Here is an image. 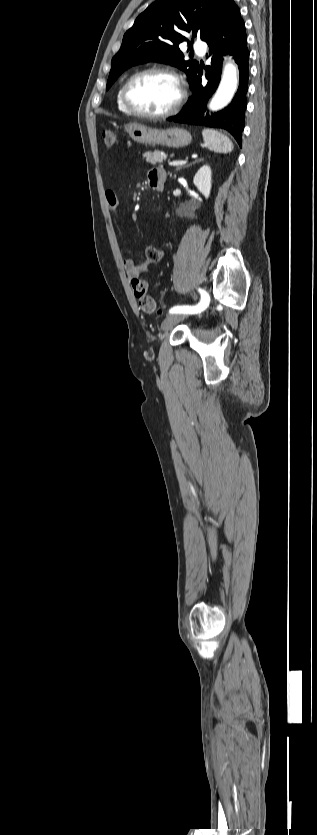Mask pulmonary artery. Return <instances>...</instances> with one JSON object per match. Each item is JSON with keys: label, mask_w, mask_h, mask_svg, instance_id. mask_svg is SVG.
<instances>
[{"label": "pulmonary artery", "mask_w": 317, "mask_h": 835, "mask_svg": "<svg viewBox=\"0 0 317 835\" xmlns=\"http://www.w3.org/2000/svg\"><path fill=\"white\" fill-rule=\"evenodd\" d=\"M194 49H195L197 54L203 55L207 50V46L204 42L197 41L194 45Z\"/></svg>", "instance_id": "pulmonary-artery-1"}]
</instances>
